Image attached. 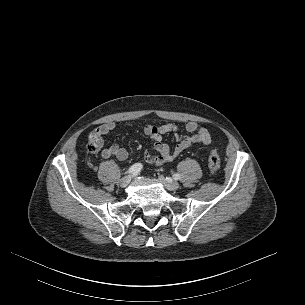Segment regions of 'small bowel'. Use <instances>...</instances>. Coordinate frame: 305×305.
<instances>
[{
    "label": "small bowel",
    "instance_id": "c3829d8e",
    "mask_svg": "<svg viewBox=\"0 0 305 305\" xmlns=\"http://www.w3.org/2000/svg\"><path fill=\"white\" fill-rule=\"evenodd\" d=\"M115 129V123L107 122L97 128L100 136L107 135ZM186 134H182L181 131ZM144 133L152 140L151 147L146 151V159L156 166H162L172 162L184 150L196 144L209 145L212 143V133L196 121H190L182 127L174 123L161 125L146 124L143 128ZM174 134L177 140L176 146L171 149L164 141L162 136ZM102 157L109 159L115 157L118 160H126L128 152L125 148L112 144L102 151Z\"/></svg>",
    "mask_w": 305,
    "mask_h": 305
}]
</instances>
